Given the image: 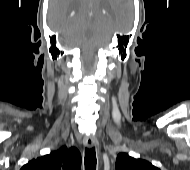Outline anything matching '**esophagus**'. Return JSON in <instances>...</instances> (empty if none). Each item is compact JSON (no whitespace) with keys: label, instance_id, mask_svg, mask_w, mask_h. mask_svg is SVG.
Wrapping results in <instances>:
<instances>
[{"label":"esophagus","instance_id":"34e87169","mask_svg":"<svg viewBox=\"0 0 190 170\" xmlns=\"http://www.w3.org/2000/svg\"><path fill=\"white\" fill-rule=\"evenodd\" d=\"M84 144H85V146L87 148L91 149V148L95 147L98 144V141H97L96 137L88 136V137L85 138Z\"/></svg>","mask_w":190,"mask_h":170}]
</instances>
